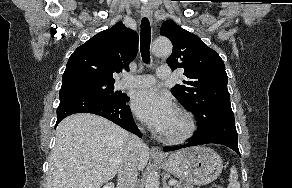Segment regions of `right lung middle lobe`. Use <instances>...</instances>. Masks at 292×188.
I'll return each instance as SVG.
<instances>
[{
    "label": "right lung middle lobe",
    "instance_id": "1",
    "mask_svg": "<svg viewBox=\"0 0 292 188\" xmlns=\"http://www.w3.org/2000/svg\"><path fill=\"white\" fill-rule=\"evenodd\" d=\"M114 82L95 78H73L62 81L61 90L79 89L92 93L105 101L112 103L120 102L125 98V94L114 92Z\"/></svg>",
    "mask_w": 292,
    "mask_h": 188
}]
</instances>
